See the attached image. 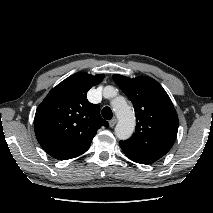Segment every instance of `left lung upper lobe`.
<instances>
[{
    "mask_svg": "<svg viewBox=\"0 0 213 213\" xmlns=\"http://www.w3.org/2000/svg\"><path fill=\"white\" fill-rule=\"evenodd\" d=\"M113 80L133 103L137 119L135 133L120 144L160 159L171 149L178 132L177 112L168 94L150 77L130 79L115 74Z\"/></svg>",
    "mask_w": 213,
    "mask_h": 213,
    "instance_id": "left-lung-upper-lobe-1",
    "label": "left lung upper lobe"
}]
</instances>
